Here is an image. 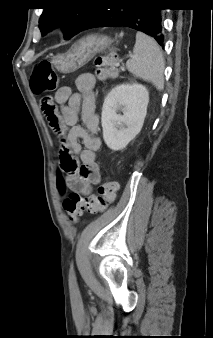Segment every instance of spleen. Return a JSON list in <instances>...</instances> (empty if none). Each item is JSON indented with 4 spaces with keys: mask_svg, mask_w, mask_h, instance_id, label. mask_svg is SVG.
Returning a JSON list of instances; mask_svg holds the SVG:
<instances>
[{
    "mask_svg": "<svg viewBox=\"0 0 213 338\" xmlns=\"http://www.w3.org/2000/svg\"><path fill=\"white\" fill-rule=\"evenodd\" d=\"M130 73L151 82L159 91L164 88L165 61L159 45L142 32L136 33L133 56L126 62Z\"/></svg>",
    "mask_w": 213,
    "mask_h": 338,
    "instance_id": "obj_1",
    "label": "spleen"
}]
</instances>
